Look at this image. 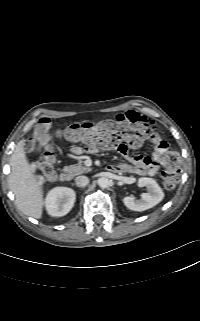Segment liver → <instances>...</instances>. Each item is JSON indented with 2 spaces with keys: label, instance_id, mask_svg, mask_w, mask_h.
Returning <instances> with one entry per match:
<instances>
[{
  "label": "liver",
  "instance_id": "liver-1",
  "mask_svg": "<svg viewBox=\"0 0 200 321\" xmlns=\"http://www.w3.org/2000/svg\"><path fill=\"white\" fill-rule=\"evenodd\" d=\"M21 140L10 158L11 173L8 183L15 195L17 208L25 215L40 219L43 214V188L24 150Z\"/></svg>",
  "mask_w": 200,
  "mask_h": 321
}]
</instances>
